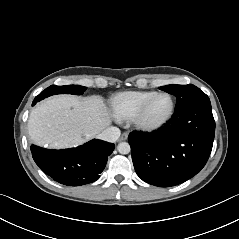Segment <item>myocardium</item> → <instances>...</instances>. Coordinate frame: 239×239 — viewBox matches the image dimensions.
I'll use <instances>...</instances> for the list:
<instances>
[{
    "label": "myocardium",
    "mask_w": 239,
    "mask_h": 239,
    "mask_svg": "<svg viewBox=\"0 0 239 239\" xmlns=\"http://www.w3.org/2000/svg\"><path fill=\"white\" fill-rule=\"evenodd\" d=\"M160 96H166L170 100V108L168 113L159 121L149 122L146 120V111L151 102ZM175 112V101L171 94L167 92H157L147 98L138 108L134 116L132 117L133 124L140 130L146 132H154L163 128L173 117Z\"/></svg>",
    "instance_id": "1"
}]
</instances>
